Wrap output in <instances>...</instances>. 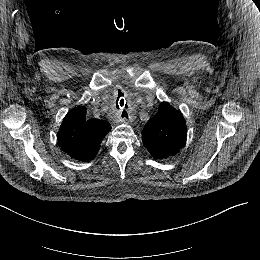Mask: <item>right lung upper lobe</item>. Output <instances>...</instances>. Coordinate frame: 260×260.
Returning <instances> with one entry per match:
<instances>
[{"label":"right lung upper lobe","instance_id":"right-lung-upper-lobe-1","mask_svg":"<svg viewBox=\"0 0 260 260\" xmlns=\"http://www.w3.org/2000/svg\"><path fill=\"white\" fill-rule=\"evenodd\" d=\"M111 130L105 120L88 119L86 108L78 106L65 116L58 142L65 153L78 161H90L100 149V142Z\"/></svg>","mask_w":260,"mask_h":260}]
</instances>
